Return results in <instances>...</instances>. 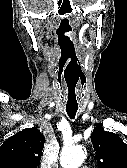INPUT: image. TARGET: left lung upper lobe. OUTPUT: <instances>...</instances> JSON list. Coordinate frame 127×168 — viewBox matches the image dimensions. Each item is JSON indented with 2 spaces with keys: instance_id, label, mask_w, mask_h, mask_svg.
Masks as SVG:
<instances>
[{
  "instance_id": "1",
  "label": "left lung upper lobe",
  "mask_w": 127,
  "mask_h": 168,
  "mask_svg": "<svg viewBox=\"0 0 127 168\" xmlns=\"http://www.w3.org/2000/svg\"><path fill=\"white\" fill-rule=\"evenodd\" d=\"M96 124L91 141L99 168H127V145L115 133L106 132Z\"/></svg>"
}]
</instances>
